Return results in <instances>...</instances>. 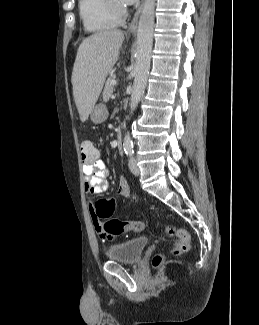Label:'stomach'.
I'll return each instance as SVG.
<instances>
[{
    "instance_id": "obj_1",
    "label": "stomach",
    "mask_w": 259,
    "mask_h": 325,
    "mask_svg": "<svg viewBox=\"0 0 259 325\" xmlns=\"http://www.w3.org/2000/svg\"><path fill=\"white\" fill-rule=\"evenodd\" d=\"M107 116L108 112L106 106L102 103H99L93 107L90 118L93 123L99 124L104 122Z\"/></svg>"
}]
</instances>
